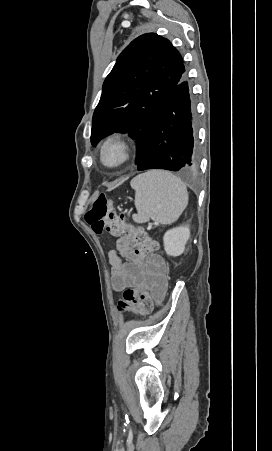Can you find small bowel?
I'll return each instance as SVG.
<instances>
[{
	"label": "small bowel",
	"instance_id": "1",
	"mask_svg": "<svg viewBox=\"0 0 272 451\" xmlns=\"http://www.w3.org/2000/svg\"><path fill=\"white\" fill-rule=\"evenodd\" d=\"M143 258L136 260L131 245H122L121 238L116 240V248L108 253L111 266L112 288L119 292L127 288L141 287L146 284V269L152 266L156 275L166 279L167 263L158 254L153 252H142Z\"/></svg>",
	"mask_w": 272,
	"mask_h": 451
}]
</instances>
